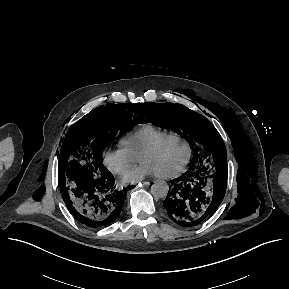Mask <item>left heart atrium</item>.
<instances>
[{"instance_id": "obj_1", "label": "left heart atrium", "mask_w": 289, "mask_h": 289, "mask_svg": "<svg viewBox=\"0 0 289 289\" xmlns=\"http://www.w3.org/2000/svg\"><path fill=\"white\" fill-rule=\"evenodd\" d=\"M152 174H156L155 170L148 163L141 162L138 166L125 173L121 180L125 184L136 183Z\"/></svg>"}]
</instances>
